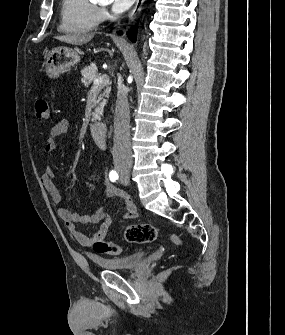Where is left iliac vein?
Wrapping results in <instances>:
<instances>
[{"label": "left iliac vein", "instance_id": "1", "mask_svg": "<svg viewBox=\"0 0 285 335\" xmlns=\"http://www.w3.org/2000/svg\"><path fill=\"white\" fill-rule=\"evenodd\" d=\"M119 181H120L121 184L127 185L129 183V178L128 177H123L122 175H120Z\"/></svg>", "mask_w": 285, "mask_h": 335}]
</instances>
